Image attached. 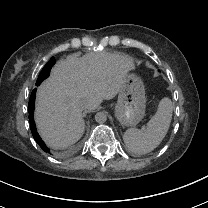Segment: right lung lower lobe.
I'll return each mask as SVG.
<instances>
[{
  "label": "right lung lower lobe",
  "mask_w": 208,
  "mask_h": 208,
  "mask_svg": "<svg viewBox=\"0 0 208 208\" xmlns=\"http://www.w3.org/2000/svg\"><path fill=\"white\" fill-rule=\"evenodd\" d=\"M54 63H55V59L51 58L49 60V62L44 66L45 78H47L49 76L50 70H51L52 66L54 65ZM40 83H38V86L40 85ZM35 95H36V88L32 91L30 99H29V121H30L31 132H32V135H33L35 141L42 148V150L50 153L49 148L42 141V139L40 138V136L38 135L37 130H36V126H35V122H34V118H33L34 108H35Z\"/></svg>",
  "instance_id": "1"
}]
</instances>
